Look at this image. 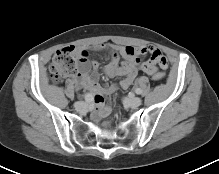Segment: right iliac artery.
Returning a JSON list of instances; mask_svg holds the SVG:
<instances>
[{
  "label": "right iliac artery",
  "instance_id": "right-iliac-artery-1",
  "mask_svg": "<svg viewBox=\"0 0 219 174\" xmlns=\"http://www.w3.org/2000/svg\"><path fill=\"white\" fill-rule=\"evenodd\" d=\"M85 100H86V102L90 103L92 101V98L89 94H86L85 95Z\"/></svg>",
  "mask_w": 219,
  "mask_h": 174
}]
</instances>
